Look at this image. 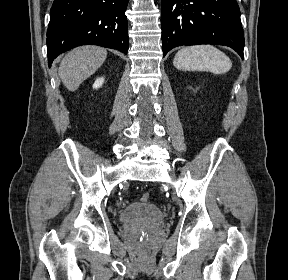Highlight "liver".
<instances>
[{
    "label": "liver",
    "instance_id": "1",
    "mask_svg": "<svg viewBox=\"0 0 288 280\" xmlns=\"http://www.w3.org/2000/svg\"><path fill=\"white\" fill-rule=\"evenodd\" d=\"M107 57L106 49L83 46L70 51L59 66V76L69 91H75L80 84L94 74Z\"/></svg>",
    "mask_w": 288,
    "mask_h": 280
}]
</instances>
